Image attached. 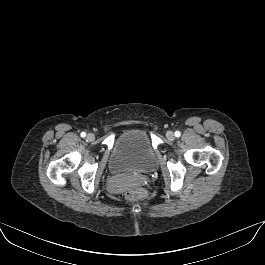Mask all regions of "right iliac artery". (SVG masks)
<instances>
[{"label": "right iliac artery", "instance_id": "1", "mask_svg": "<svg viewBox=\"0 0 265 265\" xmlns=\"http://www.w3.org/2000/svg\"><path fill=\"white\" fill-rule=\"evenodd\" d=\"M80 135H81V137L84 138L86 136V133L85 132H82Z\"/></svg>", "mask_w": 265, "mask_h": 265}]
</instances>
